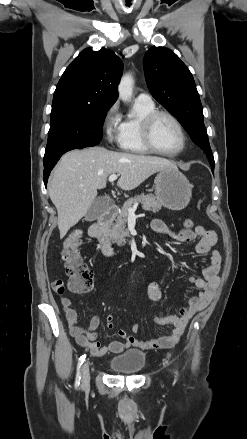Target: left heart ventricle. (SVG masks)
Segmentation results:
<instances>
[{
  "instance_id": "b2bd125f",
  "label": "left heart ventricle",
  "mask_w": 247,
  "mask_h": 439,
  "mask_svg": "<svg viewBox=\"0 0 247 439\" xmlns=\"http://www.w3.org/2000/svg\"><path fill=\"white\" fill-rule=\"evenodd\" d=\"M152 140L158 149L166 152L178 149L181 144L180 133L176 125L165 116L156 119L152 128Z\"/></svg>"
}]
</instances>
